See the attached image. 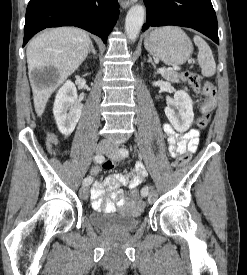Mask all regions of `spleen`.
I'll use <instances>...</instances> for the list:
<instances>
[{
    "label": "spleen",
    "mask_w": 247,
    "mask_h": 275,
    "mask_svg": "<svg viewBox=\"0 0 247 275\" xmlns=\"http://www.w3.org/2000/svg\"><path fill=\"white\" fill-rule=\"evenodd\" d=\"M193 40L198 47V63L202 74L206 77L213 76L216 71V64L209 45L198 35H195Z\"/></svg>",
    "instance_id": "1"
}]
</instances>
